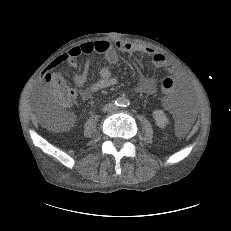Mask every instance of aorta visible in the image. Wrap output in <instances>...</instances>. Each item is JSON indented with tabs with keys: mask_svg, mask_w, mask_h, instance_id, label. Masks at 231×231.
<instances>
[{
	"mask_svg": "<svg viewBox=\"0 0 231 231\" xmlns=\"http://www.w3.org/2000/svg\"><path fill=\"white\" fill-rule=\"evenodd\" d=\"M118 103L121 105V106H126L129 104V100L125 97H122V98H119L118 99Z\"/></svg>",
	"mask_w": 231,
	"mask_h": 231,
	"instance_id": "obj_1",
	"label": "aorta"
}]
</instances>
